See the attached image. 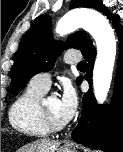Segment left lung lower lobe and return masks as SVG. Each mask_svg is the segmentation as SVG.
<instances>
[{"mask_svg": "<svg viewBox=\"0 0 123 152\" xmlns=\"http://www.w3.org/2000/svg\"><path fill=\"white\" fill-rule=\"evenodd\" d=\"M119 36V57L115 77V90L112 105L109 109L96 104L92 91L82 99V115L78 125L72 132V139L93 149L104 152H123V26L118 25V15H110ZM88 61L86 80L92 85V69L96 50L89 42L81 51ZM83 77L78 78V83Z\"/></svg>", "mask_w": 123, "mask_h": 152, "instance_id": "1", "label": "left lung lower lobe"}]
</instances>
